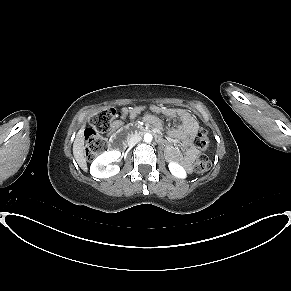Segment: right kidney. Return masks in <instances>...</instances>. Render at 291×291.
Wrapping results in <instances>:
<instances>
[{
	"label": "right kidney",
	"mask_w": 291,
	"mask_h": 291,
	"mask_svg": "<svg viewBox=\"0 0 291 291\" xmlns=\"http://www.w3.org/2000/svg\"><path fill=\"white\" fill-rule=\"evenodd\" d=\"M121 160V152L112 150L104 152L98 156L91 164L90 174L96 178H109L119 173L118 165H111V162H119Z\"/></svg>",
	"instance_id": "right-kidney-1"
}]
</instances>
